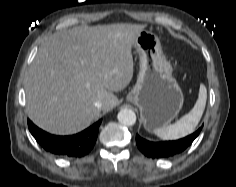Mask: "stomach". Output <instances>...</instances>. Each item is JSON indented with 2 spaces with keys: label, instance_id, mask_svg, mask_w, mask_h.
<instances>
[{
  "label": "stomach",
  "instance_id": "obj_1",
  "mask_svg": "<svg viewBox=\"0 0 236 187\" xmlns=\"http://www.w3.org/2000/svg\"><path fill=\"white\" fill-rule=\"evenodd\" d=\"M133 46L139 56V73L126 99L139 108L144 128L154 132L166 127L178 115L184 97L159 38L151 31L142 30Z\"/></svg>",
  "mask_w": 236,
  "mask_h": 187
}]
</instances>
